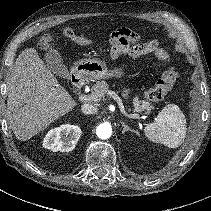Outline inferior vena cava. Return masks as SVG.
Segmentation results:
<instances>
[{"mask_svg": "<svg viewBox=\"0 0 211 211\" xmlns=\"http://www.w3.org/2000/svg\"><path fill=\"white\" fill-rule=\"evenodd\" d=\"M81 111L84 114H95L98 112V108L91 104H84L81 106Z\"/></svg>", "mask_w": 211, "mask_h": 211, "instance_id": "inferior-vena-cava-1", "label": "inferior vena cava"}]
</instances>
